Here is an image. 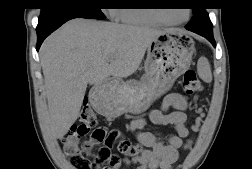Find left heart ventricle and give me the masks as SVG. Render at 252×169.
I'll use <instances>...</instances> for the list:
<instances>
[{
  "mask_svg": "<svg viewBox=\"0 0 252 169\" xmlns=\"http://www.w3.org/2000/svg\"><path fill=\"white\" fill-rule=\"evenodd\" d=\"M163 16L172 21H181L186 17V10L185 9L166 10L164 11Z\"/></svg>",
  "mask_w": 252,
  "mask_h": 169,
  "instance_id": "b2bd125f",
  "label": "left heart ventricle"
}]
</instances>
